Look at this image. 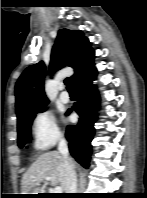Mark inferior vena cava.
<instances>
[{"mask_svg": "<svg viewBox=\"0 0 147 198\" xmlns=\"http://www.w3.org/2000/svg\"><path fill=\"white\" fill-rule=\"evenodd\" d=\"M58 151L62 155L65 162V193H77V175L75 172L74 163L69 157L68 145L65 138H60Z\"/></svg>", "mask_w": 147, "mask_h": 198, "instance_id": "602c4592", "label": "inferior vena cava"}]
</instances>
